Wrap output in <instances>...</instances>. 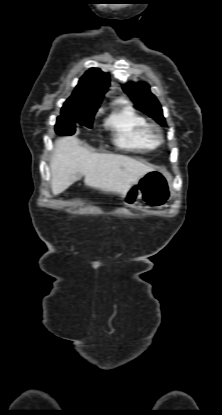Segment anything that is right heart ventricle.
I'll return each instance as SVG.
<instances>
[{
    "instance_id": "e07e8e85",
    "label": "right heart ventricle",
    "mask_w": 222,
    "mask_h": 415,
    "mask_svg": "<svg viewBox=\"0 0 222 415\" xmlns=\"http://www.w3.org/2000/svg\"><path fill=\"white\" fill-rule=\"evenodd\" d=\"M105 126L113 132L115 142L123 148L148 151L156 146L148 136L146 119L129 104L114 111L105 120Z\"/></svg>"
}]
</instances>
